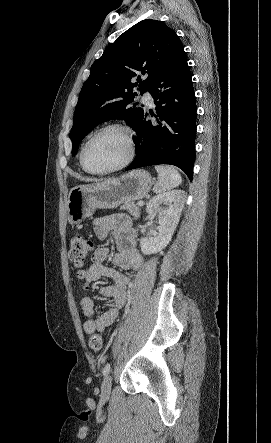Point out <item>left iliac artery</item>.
<instances>
[{
    "label": "left iliac artery",
    "mask_w": 271,
    "mask_h": 443,
    "mask_svg": "<svg viewBox=\"0 0 271 443\" xmlns=\"http://www.w3.org/2000/svg\"><path fill=\"white\" fill-rule=\"evenodd\" d=\"M110 369H111V365H110V363H107L105 365V367L103 368V371H102L103 375L104 376L108 375L110 372Z\"/></svg>",
    "instance_id": "1"
}]
</instances>
